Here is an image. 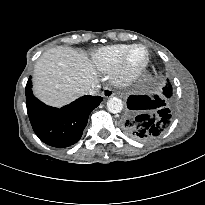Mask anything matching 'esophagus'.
I'll list each match as a JSON object with an SVG mask.
<instances>
[{"label":"esophagus","mask_w":205,"mask_h":205,"mask_svg":"<svg viewBox=\"0 0 205 205\" xmlns=\"http://www.w3.org/2000/svg\"><path fill=\"white\" fill-rule=\"evenodd\" d=\"M103 97L105 98H110L114 95V92L111 88L105 87L103 92H102Z\"/></svg>","instance_id":"34e87169"}]
</instances>
